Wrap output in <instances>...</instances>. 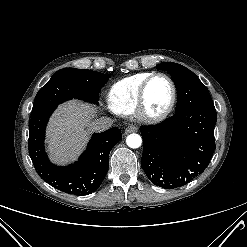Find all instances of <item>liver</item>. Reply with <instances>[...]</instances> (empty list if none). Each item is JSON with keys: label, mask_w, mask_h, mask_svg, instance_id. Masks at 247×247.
I'll list each match as a JSON object with an SVG mask.
<instances>
[{"label": "liver", "mask_w": 247, "mask_h": 247, "mask_svg": "<svg viewBox=\"0 0 247 247\" xmlns=\"http://www.w3.org/2000/svg\"><path fill=\"white\" fill-rule=\"evenodd\" d=\"M96 113V108L77 100L59 106L46 132L47 149L53 162L64 164L76 159L92 131L90 124Z\"/></svg>", "instance_id": "1"}]
</instances>
